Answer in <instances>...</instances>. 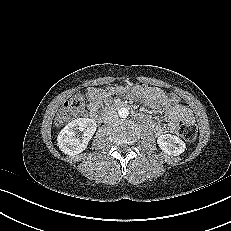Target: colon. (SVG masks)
I'll use <instances>...</instances> for the list:
<instances>
[{"label":"colon","instance_id":"colon-1","mask_svg":"<svg viewBox=\"0 0 231 231\" xmlns=\"http://www.w3.org/2000/svg\"><path fill=\"white\" fill-rule=\"evenodd\" d=\"M168 100L173 105L181 104V99L178 95L171 93ZM84 108V98L82 95H75L72 97L60 110L56 117V124L58 126L64 125L71 118L79 115ZM181 137L188 142H193L197 137V128L194 124H184L180 128Z\"/></svg>","mask_w":231,"mask_h":231}]
</instances>
